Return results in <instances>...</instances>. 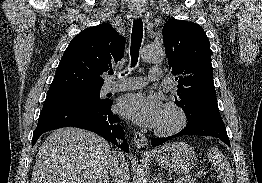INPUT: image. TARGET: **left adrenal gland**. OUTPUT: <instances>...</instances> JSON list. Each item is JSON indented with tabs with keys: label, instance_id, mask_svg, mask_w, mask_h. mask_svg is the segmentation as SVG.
Listing matches in <instances>:
<instances>
[{
	"label": "left adrenal gland",
	"instance_id": "1",
	"mask_svg": "<svg viewBox=\"0 0 262 183\" xmlns=\"http://www.w3.org/2000/svg\"><path fill=\"white\" fill-rule=\"evenodd\" d=\"M159 182H160V183H167L166 181H162V176H161V174L159 175Z\"/></svg>",
	"mask_w": 262,
	"mask_h": 183
}]
</instances>
